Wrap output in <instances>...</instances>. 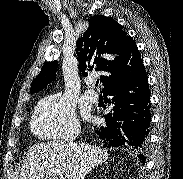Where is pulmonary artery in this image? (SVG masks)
I'll return each instance as SVG.
<instances>
[{"mask_svg":"<svg viewBox=\"0 0 183 179\" xmlns=\"http://www.w3.org/2000/svg\"><path fill=\"white\" fill-rule=\"evenodd\" d=\"M89 83L91 84L92 81H89ZM85 97H86L89 101L95 103V102L98 101L99 95H98V93H97L96 91H94V90H92V89H88V90L85 92Z\"/></svg>","mask_w":183,"mask_h":179,"instance_id":"e3ab8cb5","label":"pulmonary artery"}]
</instances>
